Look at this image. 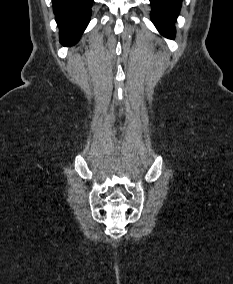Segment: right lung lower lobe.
I'll use <instances>...</instances> for the list:
<instances>
[{"mask_svg":"<svg viewBox=\"0 0 233 284\" xmlns=\"http://www.w3.org/2000/svg\"><path fill=\"white\" fill-rule=\"evenodd\" d=\"M53 11L64 46L73 45L87 27L93 0H52Z\"/></svg>","mask_w":233,"mask_h":284,"instance_id":"obj_1","label":"right lung lower lobe"}]
</instances>
